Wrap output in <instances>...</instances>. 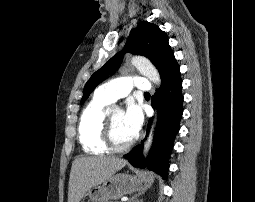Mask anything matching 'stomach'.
Here are the masks:
<instances>
[{"label":"stomach","instance_id":"stomach-1","mask_svg":"<svg viewBox=\"0 0 255 202\" xmlns=\"http://www.w3.org/2000/svg\"><path fill=\"white\" fill-rule=\"evenodd\" d=\"M152 183L153 177L149 173H142L137 177L125 174L122 181H115V186L97 185L89 189L87 195L89 202H110L109 200H117L128 193L144 192Z\"/></svg>","mask_w":255,"mask_h":202}]
</instances>
